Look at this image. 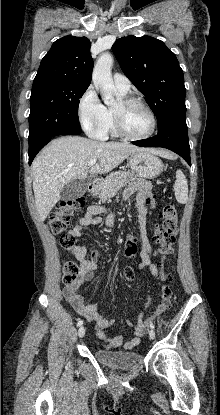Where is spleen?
<instances>
[{"label":"spleen","mask_w":220,"mask_h":415,"mask_svg":"<svg viewBox=\"0 0 220 415\" xmlns=\"http://www.w3.org/2000/svg\"><path fill=\"white\" fill-rule=\"evenodd\" d=\"M176 200L179 203H186L188 200V183L184 173L179 169L176 171V181L174 184Z\"/></svg>","instance_id":"spleen-1"}]
</instances>
